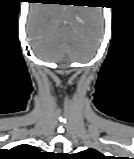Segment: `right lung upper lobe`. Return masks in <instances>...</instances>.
<instances>
[{
    "label": "right lung upper lobe",
    "mask_w": 134,
    "mask_h": 159,
    "mask_svg": "<svg viewBox=\"0 0 134 159\" xmlns=\"http://www.w3.org/2000/svg\"><path fill=\"white\" fill-rule=\"evenodd\" d=\"M15 149L18 152L25 153V154H30V153L37 151V149L35 147L30 146V145H20V146L16 147Z\"/></svg>",
    "instance_id": "cb5924a9"
}]
</instances>
